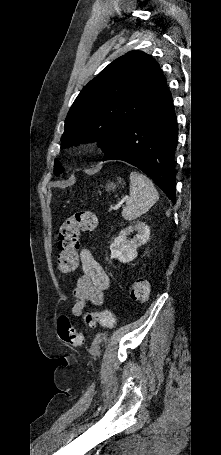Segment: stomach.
<instances>
[{
    "mask_svg": "<svg viewBox=\"0 0 221 455\" xmlns=\"http://www.w3.org/2000/svg\"><path fill=\"white\" fill-rule=\"evenodd\" d=\"M116 187H117L116 184L113 183V182H111V183H108V184L106 185V190H107V191L115 190Z\"/></svg>",
    "mask_w": 221,
    "mask_h": 455,
    "instance_id": "0dacf381",
    "label": "stomach"
}]
</instances>
